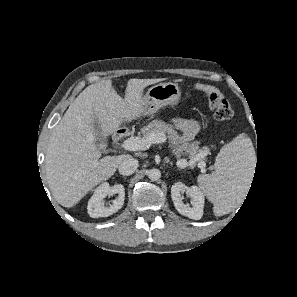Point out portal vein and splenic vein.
<instances>
[{"mask_svg": "<svg viewBox=\"0 0 297 297\" xmlns=\"http://www.w3.org/2000/svg\"><path fill=\"white\" fill-rule=\"evenodd\" d=\"M167 138L162 133H152L147 137L141 138V137H132L126 139L122 143V147L125 150L129 151H141V150H147L150 148L152 144H158V143H164L166 142ZM178 165H184L188 166L190 163L186 162L183 159H180L177 161ZM205 166L204 163H201V167L203 168Z\"/></svg>", "mask_w": 297, "mask_h": 297, "instance_id": "portal-vein-and-splenic-vein-1", "label": "portal vein and splenic vein"}]
</instances>
